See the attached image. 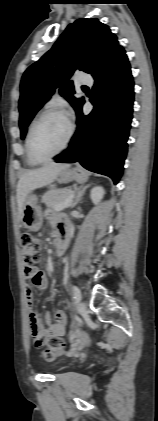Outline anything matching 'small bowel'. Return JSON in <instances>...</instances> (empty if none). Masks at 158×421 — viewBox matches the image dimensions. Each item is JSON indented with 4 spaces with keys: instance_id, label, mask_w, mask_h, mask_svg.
<instances>
[{
    "instance_id": "1",
    "label": "small bowel",
    "mask_w": 158,
    "mask_h": 421,
    "mask_svg": "<svg viewBox=\"0 0 158 421\" xmlns=\"http://www.w3.org/2000/svg\"><path fill=\"white\" fill-rule=\"evenodd\" d=\"M48 218L51 222V225L54 229V232L60 237L63 234H68L69 232V222L64 215L61 214H51L49 213ZM24 273L26 279L29 280L30 285H28L26 290V300L30 308L29 312V327L32 335V339L35 347L40 348L43 346L44 341L52 336H61L65 332L66 325V314L57 310L54 313V320L51 321L49 314L44 315V320L48 324L46 328L43 327L38 314L33 310V291L32 287H36L39 290H45L48 287V280L46 275L40 271L38 268H24ZM70 340L73 345H77L80 341L79 331L77 327H74L70 333ZM39 342V344H37Z\"/></svg>"
}]
</instances>
